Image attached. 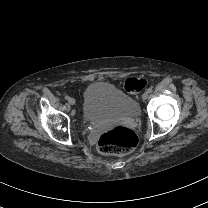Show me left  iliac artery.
<instances>
[{"mask_svg": "<svg viewBox=\"0 0 208 208\" xmlns=\"http://www.w3.org/2000/svg\"><path fill=\"white\" fill-rule=\"evenodd\" d=\"M152 91H153L152 88H149V89L147 90L148 93H152Z\"/></svg>", "mask_w": 208, "mask_h": 208, "instance_id": "1", "label": "left iliac artery"}]
</instances>
